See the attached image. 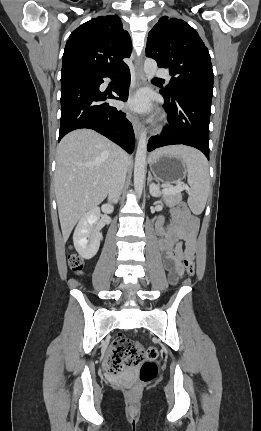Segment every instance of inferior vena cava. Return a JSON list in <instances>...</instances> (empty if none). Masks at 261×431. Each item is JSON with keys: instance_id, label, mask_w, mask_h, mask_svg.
<instances>
[{"instance_id": "602c4592", "label": "inferior vena cava", "mask_w": 261, "mask_h": 431, "mask_svg": "<svg viewBox=\"0 0 261 431\" xmlns=\"http://www.w3.org/2000/svg\"><path fill=\"white\" fill-rule=\"evenodd\" d=\"M126 170L125 152L121 150L115 162L114 172L109 187L108 200L111 203H117L119 200L125 184Z\"/></svg>"}]
</instances>
